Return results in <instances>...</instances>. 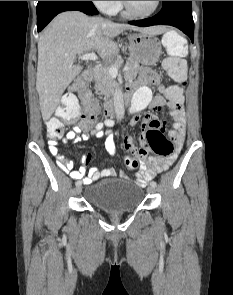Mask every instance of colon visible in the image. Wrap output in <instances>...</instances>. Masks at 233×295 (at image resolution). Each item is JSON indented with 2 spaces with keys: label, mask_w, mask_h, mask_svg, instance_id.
Here are the masks:
<instances>
[{
  "label": "colon",
  "mask_w": 233,
  "mask_h": 295,
  "mask_svg": "<svg viewBox=\"0 0 233 295\" xmlns=\"http://www.w3.org/2000/svg\"><path fill=\"white\" fill-rule=\"evenodd\" d=\"M163 45L169 54L164 67L168 75L178 84L164 87V90L170 96H178L182 93L183 87L187 81L185 57L188 54V45L184 37L178 32L170 31L163 36ZM87 80L84 77L77 78L70 86L69 92L63 97L62 105L56 110V116L51 117L47 125V133L51 140L60 138L64 133V124L62 119L72 120L79 115V104L76 95L79 97L89 93ZM96 107H90L83 119L92 122L96 115ZM148 151L159 156H168L174 151V144L167 139L164 132L159 129L150 128L143 139H141L140 147L136 151H132L131 156L125 158V165L130 169L138 167V158L147 154Z\"/></svg>",
  "instance_id": "obj_1"
}]
</instances>
